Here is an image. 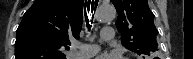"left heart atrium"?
I'll list each match as a JSON object with an SVG mask.
<instances>
[{
	"instance_id": "left-heart-atrium-1",
	"label": "left heart atrium",
	"mask_w": 193,
	"mask_h": 59,
	"mask_svg": "<svg viewBox=\"0 0 193 59\" xmlns=\"http://www.w3.org/2000/svg\"><path fill=\"white\" fill-rule=\"evenodd\" d=\"M97 59H120V58L118 57V55L112 54V55H103L98 57Z\"/></svg>"
}]
</instances>
